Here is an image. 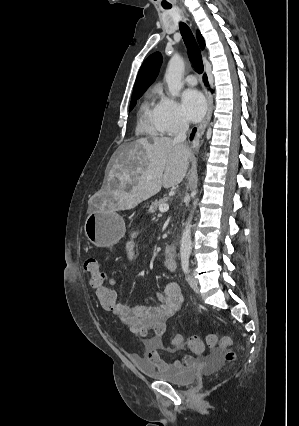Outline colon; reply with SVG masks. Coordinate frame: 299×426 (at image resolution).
I'll list each match as a JSON object with an SVG mask.
<instances>
[{"mask_svg": "<svg viewBox=\"0 0 299 426\" xmlns=\"http://www.w3.org/2000/svg\"><path fill=\"white\" fill-rule=\"evenodd\" d=\"M85 270L90 274L89 284L94 290L95 297L99 304L106 310H112L119 301V297L115 289L110 286L106 280L105 273L101 270L100 263L94 257H88L84 263ZM210 347H219L223 349L224 359L230 363L235 360V352L231 349L232 339L230 337H217L209 335L206 339ZM174 347L188 346L195 353H201L204 345L199 336H191L185 340L183 334L177 333L172 338Z\"/></svg>", "mask_w": 299, "mask_h": 426, "instance_id": "colon-1", "label": "colon"}]
</instances>
